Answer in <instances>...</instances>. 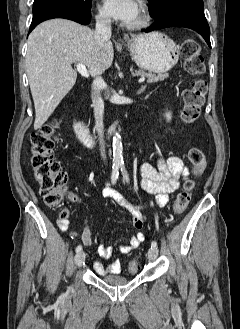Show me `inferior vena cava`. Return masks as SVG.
Returning <instances> with one entry per match:
<instances>
[{
  "instance_id": "inferior-vena-cava-1",
  "label": "inferior vena cava",
  "mask_w": 240,
  "mask_h": 329,
  "mask_svg": "<svg viewBox=\"0 0 240 329\" xmlns=\"http://www.w3.org/2000/svg\"><path fill=\"white\" fill-rule=\"evenodd\" d=\"M111 37V21L105 16L96 17V29L94 38L99 46H102ZM94 81L92 83V107L94 109L95 116V129L98 132L100 140V151L101 156L105 158V145L103 140L104 125H103V114H104V101L100 95V91L106 87V83L101 77V72L93 75Z\"/></svg>"
}]
</instances>
